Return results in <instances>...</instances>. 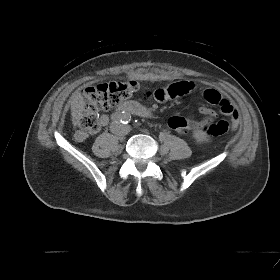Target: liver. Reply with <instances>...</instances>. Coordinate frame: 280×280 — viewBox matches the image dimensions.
<instances>
[{
    "label": "liver",
    "instance_id": "liver-1",
    "mask_svg": "<svg viewBox=\"0 0 280 280\" xmlns=\"http://www.w3.org/2000/svg\"><path fill=\"white\" fill-rule=\"evenodd\" d=\"M85 101L78 91L74 93L71 101V115L73 124L76 125L83 116Z\"/></svg>",
    "mask_w": 280,
    "mask_h": 280
}]
</instances>
